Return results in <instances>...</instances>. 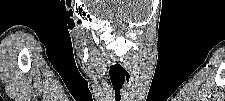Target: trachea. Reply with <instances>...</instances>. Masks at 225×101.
<instances>
[{"mask_svg": "<svg viewBox=\"0 0 225 101\" xmlns=\"http://www.w3.org/2000/svg\"><path fill=\"white\" fill-rule=\"evenodd\" d=\"M115 90H116V92H115V100L116 101H120V99H121V96H120V93H119L120 88L119 89H115Z\"/></svg>", "mask_w": 225, "mask_h": 101, "instance_id": "trachea-1", "label": "trachea"}]
</instances>
